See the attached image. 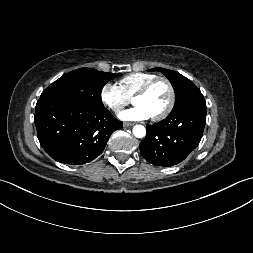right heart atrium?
I'll return each mask as SVG.
<instances>
[{
    "mask_svg": "<svg viewBox=\"0 0 253 253\" xmlns=\"http://www.w3.org/2000/svg\"><path fill=\"white\" fill-rule=\"evenodd\" d=\"M100 98L103 104L115 113L120 112L131 101L122 88L112 82H107L102 86Z\"/></svg>",
    "mask_w": 253,
    "mask_h": 253,
    "instance_id": "obj_1",
    "label": "right heart atrium"
}]
</instances>
